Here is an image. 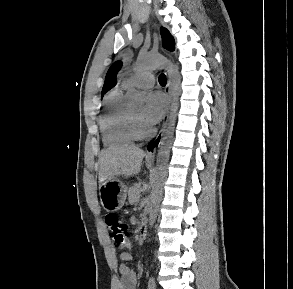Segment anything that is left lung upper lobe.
Returning <instances> with one entry per match:
<instances>
[{
  "label": "left lung upper lobe",
  "mask_w": 293,
  "mask_h": 289,
  "mask_svg": "<svg viewBox=\"0 0 293 289\" xmlns=\"http://www.w3.org/2000/svg\"><path fill=\"white\" fill-rule=\"evenodd\" d=\"M160 32H161V36H162L163 47L169 51H174L175 50V42H174V38L171 36L169 31L162 27L160 29Z\"/></svg>",
  "instance_id": "left-lung-upper-lobe-1"
}]
</instances>
